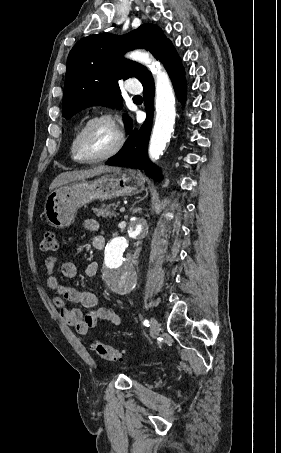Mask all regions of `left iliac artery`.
I'll return each instance as SVG.
<instances>
[{
	"label": "left iliac artery",
	"instance_id": "1",
	"mask_svg": "<svg viewBox=\"0 0 281 453\" xmlns=\"http://www.w3.org/2000/svg\"><path fill=\"white\" fill-rule=\"evenodd\" d=\"M143 324H144L145 326H147V327H149V326H150V325H149V321H148V320H145V321L143 322Z\"/></svg>",
	"mask_w": 281,
	"mask_h": 453
}]
</instances>
